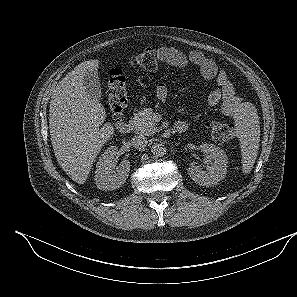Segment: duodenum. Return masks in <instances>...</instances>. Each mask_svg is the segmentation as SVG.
I'll list each match as a JSON object with an SVG mask.
<instances>
[{
    "label": "duodenum",
    "mask_w": 297,
    "mask_h": 297,
    "mask_svg": "<svg viewBox=\"0 0 297 297\" xmlns=\"http://www.w3.org/2000/svg\"><path fill=\"white\" fill-rule=\"evenodd\" d=\"M133 128V123L129 120H123L117 124V130L121 134H127ZM187 130V125L184 122H177L173 125L172 131L175 133H184Z\"/></svg>",
    "instance_id": "410a0bca"
}]
</instances>
